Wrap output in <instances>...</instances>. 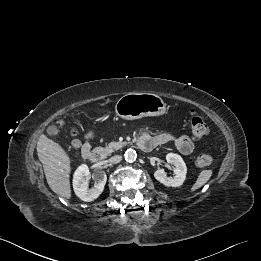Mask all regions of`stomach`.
Returning a JSON list of instances; mask_svg holds the SVG:
<instances>
[{
	"instance_id": "obj_1",
	"label": "stomach",
	"mask_w": 261,
	"mask_h": 261,
	"mask_svg": "<svg viewBox=\"0 0 261 261\" xmlns=\"http://www.w3.org/2000/svg\"><path fill=\"white\" fill-rule=\"evenodd\" d=\"M116 115L125 120H135L146 116H160L166 113V103L152 93H127L116 103Z\"/></svg>"
}]
</instances>
